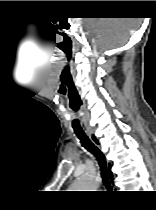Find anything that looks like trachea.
Returning a JSON list of instances; mask_svg holds the SVG:
<instances>
[{"label":"trachea","instance_id":"3493384b","mask_svg":"<svg viewBox=\"0 0 156 210\" xmlns=\"http://www.w3.org/2000/svg\"><path fill=\"white\" fill-rule=\"evenodd\" d=\"M75 134L79 138L81 145L97 158L101 170V177L103 179V183L107 187H110V182L108 180V174L106 170V160L104 155L93 143H91L88 136L83 131H76Z\"/></svg>","mask_w":156,"mask_h":210}]
</instances>
